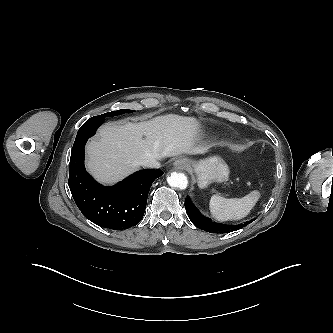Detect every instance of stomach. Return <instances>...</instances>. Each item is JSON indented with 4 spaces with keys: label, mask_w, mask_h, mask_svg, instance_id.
Wrapping results in <instances>:
<instances>
[{
    "label": "stomach",
    "mask_w": 333,
    "mask_h": 333,
    "mask_svg": "<svg viewBox=\"0 0 333 333\" xmlns=\"http://www.w3.org/2000/svg\"><path fill=\"white\" fill-rule=\"evenodd\" d=\"M190 165L198 176L200 188L207 187L212 182H223L228 179L229 167L220 157L190 161Z\"/></svg>",
    "instance_id": "1"
}]
</instances>
